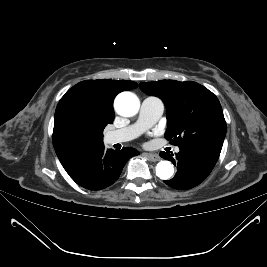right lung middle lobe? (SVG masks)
Segmentation results:
<instances>
[{
  "instance_id": "dd1d6c3e",
  "label": "right lung middle lobe",
  "mask_w": 267,
  "mask_h": 267,
  "mask_svg": "<svg viewBox=\"0 0 267 267\" xmlns=\"http://www.w3.org/2000/svg\"><path fill=\"white\" fill-rule=\"evenodd\" d=\"M105 126V124L94 125L93 123L82 118H76L72 122V129L75 133L85 134L94 132L98 135L101 141H103V130Z\"/></svg>"
}]
</instances>
